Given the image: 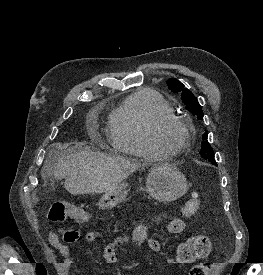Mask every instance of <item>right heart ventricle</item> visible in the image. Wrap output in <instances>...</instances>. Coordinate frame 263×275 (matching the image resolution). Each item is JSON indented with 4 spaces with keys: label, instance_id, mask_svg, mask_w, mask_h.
I'll return each mask as SVG.
<instances>
[{
    "label": "right heart ventricle",
    "instance_id": "1",
    "mask_svg": "<svg viewBox=\"0 0 263 275\" xmlns=\"http://www.w3.org/2000/svg\"><path fill=\"white\" fill-rule=\"evenodd\" d=\"M175 115L171 105L154 90H140L129 95L109 117L108 137L121 153L157 159L167 156L153 147L149 132L163 115Z\"/></svg>",
    "mask_w": 263,
    "mask_h": 275
}]
</instances>
